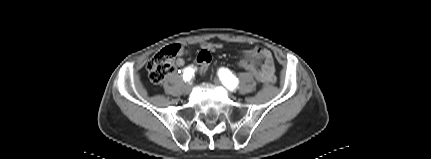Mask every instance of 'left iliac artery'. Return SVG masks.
Instances as JSON below:
<instances>
[{
  "instance_id": "left-iliac-artery-1",
  "label": "left iliac artery",
  "mask_w": 431,
  "mask_h": 159,
  "mask_svg": "<svg viewBox=\"0 0 431 159\" xmlns=\"http://www.w3.org/2000/svg\"><path fill=\"white\" fill-rule=\"evenodd\" d=\"M218 76L224 86L231 91L235 90L238 85V79L227 68L219 69Z\"/></svg>"
}]
</instances>
